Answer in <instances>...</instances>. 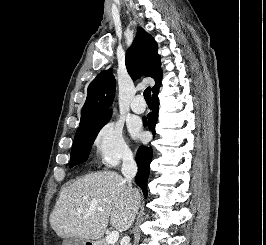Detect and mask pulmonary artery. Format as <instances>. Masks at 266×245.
I'll use <instances>...</instances> for the list:
<instances>
[{
    "instance_id": "obj_1",
    "label": "pulmonary artery",
    "mask_w": 266,
    "mask_h": 245,
    "mask_svg": "<svg viewBox=\"0 0 266 245\" xmlns=\"http://www.w3.org/2000/svg\"><path fill=\"white\" fill-rule=\"evenodd\" d=\"M142 99V95H137L131 101L130 108L133 112L141 114L146 110V105L144 104V101Z\"/></svg>"
}]
</instances>
